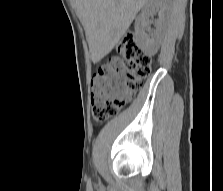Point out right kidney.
I'll return each instance as SVG.
<instances>
[{
	"label": "right kidney",
	"instance_id": "obj_1",
	"mask_svg": "<svg viewBox=\"0 0 223 191\" xmlns=\"http://www.w3.org/2000/svg\"><path fill=\"white\" fill-rule=\"evenodd\" d=\"M167 7L168 0H149L143 6L140 15L136 18L135 33L137 43L141 50L148 55H154L159 48ZM156 13L159 16L154 23L156 29L151 30L149 28V24L151 23L150 18Z\"/></svg>",
	"mask_w": 223,
	"mask_h": 191
}]
</instances>
